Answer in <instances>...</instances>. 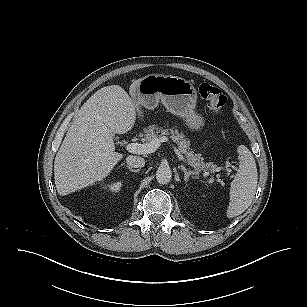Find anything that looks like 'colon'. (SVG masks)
<instances>
[{"label": "colon", "instance_id": "1", "mask_svg": "<svg viewBox=\"0 0 307 307\" xmlns=\"http://www.w3.org/2000/svg\"><path fill=\"white\" fill-rule=\"evenodd\" d=\"M200 96L207 101L209 109L215 113L220 114L227 104V98L222 92L210 84L204 83L199 87Z\"/></svg>", "mask_w": 307, "mask_h": 307}]
</instances>
